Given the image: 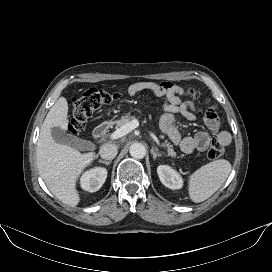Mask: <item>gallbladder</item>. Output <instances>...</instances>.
<instances>
[{
    "label": "gallbladder",
    "mask_w": 272,
    "mask_h": 272,
    "mask_svg": "<svg viewBox=\"0 0 272 272\" xmlns=\"http://www.w3.org/2000/svg\"><path fill=\"white\" fill-rule=\"evenodd\" d=\"M53 139L61 144H66L77 150L83 151L88 147V141L80 139L72 134L67 133L60 127H54L51 129Z\"/></svg>",
    "instance_id": "gallbladder-1"
}]
</instances>
